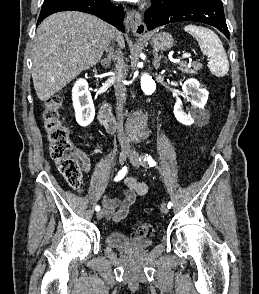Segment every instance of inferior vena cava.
Here are the masks:
<instances>
[{"label": "inferior vena cava", "instance_id": "602c4592", "mask_svg": "<svg viewBox=\"0 0 259 294\" xmlns=\"http://www.w3.org/2000/svg\"><path fill=\"white\" fill-rule=\"evenodd\" d=\"M106 51L109 52V54L112 53L113 49L111 47L106 48ZM114 61L117 62L115 65V95H116V117L119 124V134L118 138L122 145L127 146L129 144V140L123 135L122 131V123L124 119L123 114V108L124 104L126 102V86H125V79H126V73L124 71L125 63L123 56L120 51L116 52V55H114Z\"/></svg>", "mask_w": 259, "mask_h": 294}]
</instances>
